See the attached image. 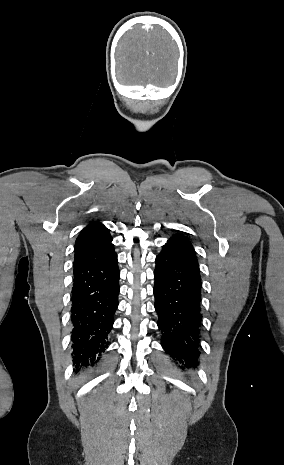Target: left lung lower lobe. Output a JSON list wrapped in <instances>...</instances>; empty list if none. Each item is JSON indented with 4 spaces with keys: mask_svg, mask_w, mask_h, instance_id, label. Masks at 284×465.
<instances>
[{
    "mask_svg": "<svg viewBox=\"0 0 284 465\" xmlns=\"http://www.w3.org/2000/svg\"><path fill=\"white\" fill-rule=\"evenodd\" d=\"M154 278L162 346L171 357L193 365L200 355L201 277L196 253L186 238L173 236L163 246Z\"/></svg>",
    "mask_w": 284,
    "mask_h": 465,
    "instance_id": "left-lung-lower-lobe-1",
    "label": "left lung lower lobe"
}]
</instances>
